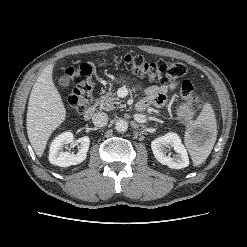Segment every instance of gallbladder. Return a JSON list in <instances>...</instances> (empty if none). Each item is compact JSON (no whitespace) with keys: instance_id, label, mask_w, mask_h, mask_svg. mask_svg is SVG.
I'll use <instances>...</instances> for the list:
<instances>
[{"instance_id":"1","label":"gallbladder","mask_w":247,"mask_h":247,"mask_svg":"<svg viewBox=\"0 0 247 247\" xmlns=\"http://www.w3.org/2000/svg\"><path fill=\"white\" fill-rule=\"evenodd\" d=\"M58 84L61 87H68L70 84V78L67 75H63L58 79Z\"/></svg>"}]
</instances>
